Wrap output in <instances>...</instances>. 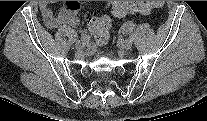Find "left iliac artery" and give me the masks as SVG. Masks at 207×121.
Masks as SVG:
<instances>
[{
    "mask_svg": "<svg viewBox=\"0 0 207 121\" xmlns=\"http://www.w3.org/2000/svg\"><path fill=\"white\" fill-rule=\"evenodd\" d=\"M132 25V22L129 20L125 22V24L119 30V35L121 38L127 37V33L131 30Z\"/></svg>",
    "mask_w": 207,
    "mask_h": 121,
    "instance_id": "obj_1",
    "label": "left iliac artery"
}]
</instances>
